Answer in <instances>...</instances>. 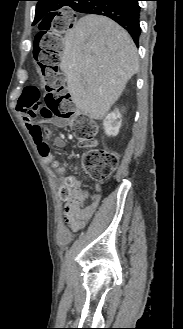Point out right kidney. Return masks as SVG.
Listing matches in <instances>:
<instances>
[{"label":"right kidney","instance_id":"right-kidney-1","mask_svg":"<svg viewBox=\"0 0 183 329\" xmlns=\"http://www.w3.org/2000/svg\"><path fill=\"white\" fill-rule=\"evenodd\" d=\"M121 125V114L118 109L109 113L103 121L104 131L107 136H116L119 133Z\"/></svg>","mask_w":183,"mask_h":329}]
</instances>
